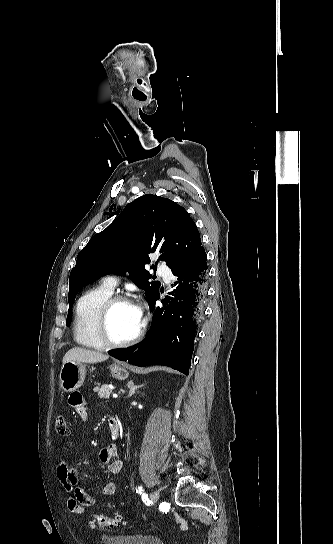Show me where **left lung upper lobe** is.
Returning <instances> with one entry per match:
<instances>
[{
	"label": "left lung upper lobe",
	"instance_id": "left-lung-upper-lobe-1",
	"mask_svg": "<svg viewBox=\"0 0 333 544\" xmlns=\"http://www.w3.org/2000/svg\"><path fill=\"white\" fill-rule=\"evenodd\" d=\"M200 246L198 229L183 207L151 194L137 198L78 254L69 279L67 326L77 292L99 276L128 272L150 302L159 294L160 283L149 282L148 254L157 252L173 271L188 262Z\"/></svg>",
	"mask_w": 333,
	"mask_h": 544
}]
</instances>
